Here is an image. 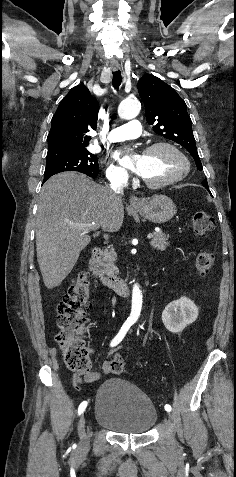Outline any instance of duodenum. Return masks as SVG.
<instances>
[{"label": "duodenum", "instance_id": "1", "mask_svg": "<svg viewBox=\"0 0 236 477\" xmlns=\"http://www.w3.org/2000/svg\"><path fill=\"white\" fill-rule=\"evenodd\" d=\"M89 271L103 287L122 296L130 294V285L123 278L105 275L101 266V250L98 247L90 250Z\"/></svg>", "mask_w": 236, "mask_h": 477}]
</instances>
